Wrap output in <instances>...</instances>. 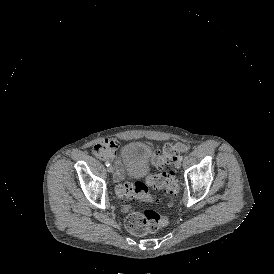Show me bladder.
Masks as SVG:
<instances>
[{"mask_svg":"<svg viewBox=\"0 0 274 274\" xmlns=\"http://www.w3.org/2000/svg\"><path fill=\"white\" fill-rule=\"evenodd\" d=\"M123 161L126 165L125 176L128 178H144L150 172V147L141 141H134L122 148Z\"/></svg>","mask_w":274,"mask_h":274,"instance_id":"obj_1","label":"bladder"}]
</instances>
